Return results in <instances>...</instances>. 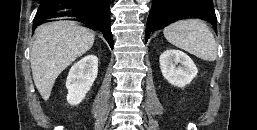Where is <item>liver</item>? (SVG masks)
I'll return each mask as SVG.
<instances>
[{"label": "liver", "mask_w": 257, "mask_h": 130, "mask_svg": "<svg viewBox=\"0 0 257 130\" xmlns=\"http://www.w3.org/2000/svg\"><path fill=\"white\" fill-rule=\"evenodd\" d=\"M31 49L33 80L47 101L59 74L94 44V33L76 22L60 20L35 30Z\"/></svg>", "instance_id": "1"}]
</instances>
